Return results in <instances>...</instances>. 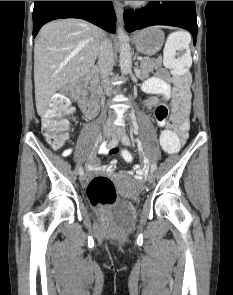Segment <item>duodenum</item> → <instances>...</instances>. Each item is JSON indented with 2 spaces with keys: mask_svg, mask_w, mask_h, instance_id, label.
Here are the masks:
<instances>
[{
  "mask_svg": "<svg viewBox=\"0 0 233 295\" xmlns=\"http://www.w3.org/2000/svg\"><path fill=\"white\" fill-rule=\"evenodd\" d=\"M98 70L92 69L85 78V88L79 100L80 109L88 114H94L98 110L100 93L97 86Z\"/></svg>",
  "mask_w": 233,
  "mask_h": 295,
  "instance_id": "duodenum-1",
  "label": "duodenum"
}]
</instances>
